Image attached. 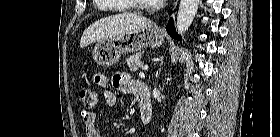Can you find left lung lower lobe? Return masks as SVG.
<instances>
[{
	"label": "left lung lower lobe",
	"instance_id": "1",
	"mask_svg": "<svg viewBox=\"0 0 280 137\" xmlns=\"http://www.w3.org/2000/svg\"><path fill=\"white\" fill-rule=\"evenodd\" d=\"M166 30L173 38L177 40H181L180 35H178L175 31V27L172 19L169 20V23L166 26Z\"/></svg>",
	"mask_w": 280,
	"mask_h": 137
}]
</instances>
